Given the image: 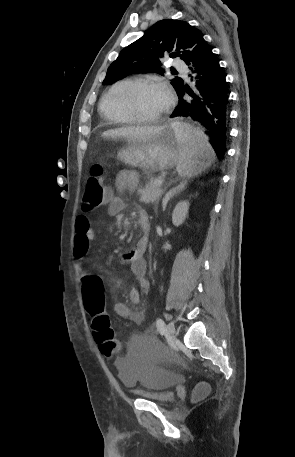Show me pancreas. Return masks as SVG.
I'll return each instance as SVG.
<instances>
[{"label": "pancreas", "instance_id": "obj_1", "mask_svg": "<svg viewBox=\"0 0 295 457\" xmlns=\"http://www.w3.org/2000/svg\"><path fill=\"white\" fill-rule=\"evenodd\" d=\"M158 180H162L161 178H152L143 188L138 190L140 194V201L146 204L158 202L161 195L162 190L160 186L156 184Z\"/></svg>", "mask_w": 295, "mask_h": 457}]
</instances>
